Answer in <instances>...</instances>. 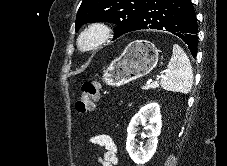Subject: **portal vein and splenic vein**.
Instances as JSON below:
<instances>
[{"instance_id": "obj_1", "label": "portal vein and splenic vein", "mask_w": 227, "mask_h": 166, "mask_svg": "<svg viewBox=\"0 0 227 166\" xmlns=\"http://www.w3.org/2000/svg\"><path fill=\"white\" fill-rule=\"evenodd\" d=\"M159 77V76H158ZM151 81H148L147 84H150Z\"/></svg>"}]
</instances>
